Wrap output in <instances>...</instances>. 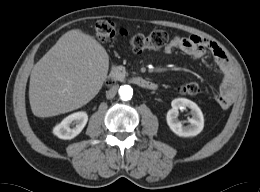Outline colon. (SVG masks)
I'll list each match as a JSON object with an SVG mask.
<instances>
[{
    "mask_svg": "<svg viewBox=\"0 0 260 192\" xmlns=\"http://www.w3.org/2000/svg\"><path fill=\"white\" fill-rule=\"evenodd\" d=\"M95 33L97 38L101 42H108L115 38L117 35L127 36V32L123 29H118L116 25L106 19L97 21L95 24ZM129 43L134 50L141 51L145 49H162L167 47L170 43V36L164 30H156L148 35L133 34L129 37ZM111 84V81H108ZM200 91V87L197 83L191 82L184 84L180 87L182 94L194 95Z\"/></svg>",
    "mask_w": 260,
    "mask_h": 192,
    "instance_id": "obj_1",
    "label": "colon"
}]
</instances>
